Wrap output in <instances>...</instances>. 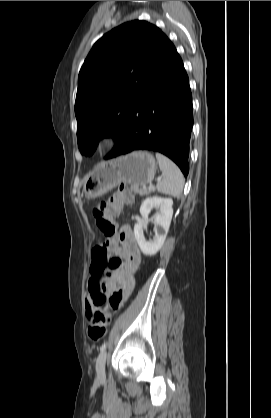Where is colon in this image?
<instances>
[{"instance_id":"1","label":"colon","mask_w":271,"mask_h":418,"mask_svg":"<svg viewBox=\"0 0 271 418\" xmlns=\"http://www.w3.org/2000/svg\"><path fill=\"white\" fill-rule=\"evenodd\" d=\"M133 202V196L130 190L125 187H119L116 192L107 200L102 201L93 210L99 230L109 239L112 240L116 234L114 217L117 216L124 206ZM121 266L119 257H108V245L97 246L92 251L91 274L94 285V303L87 311L88 319V335L94 341H100L109 324V317L105 312L107 299L101 288V281L104 276L111 275ZM119 299L114 300L117 305Z\"/></svg>"}]
</instances>
